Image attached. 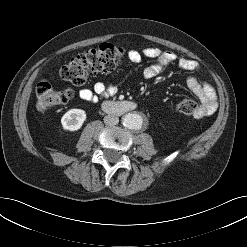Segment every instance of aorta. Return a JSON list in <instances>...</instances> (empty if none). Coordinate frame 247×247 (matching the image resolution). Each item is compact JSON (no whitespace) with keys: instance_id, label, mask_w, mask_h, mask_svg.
<instances>
[{"instance_id":"1","label":"aorta","mask_w":247,"mask_h":247,"mask_svg":"<svg viewBox=\"0 0 247 247\" xmlns=\"http://www.w3.org/2000/svg\"><path fill=\"white\" fill-rule=\"evenodd\" d=\"M122 124L128 129L139 130L143 125V118L137 113H129L123 116Z\"/></svg>"}]
</instances>
